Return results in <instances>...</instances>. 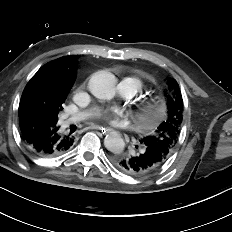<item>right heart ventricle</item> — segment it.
I'll return each mask as SVG.
<instances>
[{
    "label": "right heart ventricle",
    "mask_w": 232,
    "mask_h": 232,
    "mask_svg": "<svg viewBox=\"0 0 232 232\" xmlns=\"http://www.w3.org/2000/svg\"><path fill=\"white\" fill-rule=\"evenodd\" d=\"M131 79H133V80L139 85V88L142 87V82H141L139 79H137V78H132V77H131Z\"/></svg>",
    "instance_id": "e07e8e85"
}]
</instances>
